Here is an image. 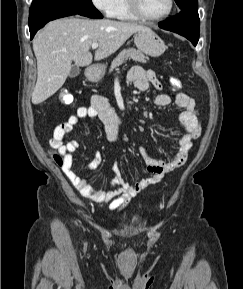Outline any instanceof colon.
Returning <instances> with one entry per match:
<instances>
[{
    "instance_id": "colon-1",
    "label": "colon",
    "mask_w": 243,
    "mask_h": 289,
    "mask_svg": "<svg viewBox=\"0 0 243 289\" xmlns=\"http://www.w3.org/2000/svg\"><path fill=\"white\" fill-rule=\"evenodd\" d=\"M170 84L174 89H180L182 87V82L180 79L176 77H171L170 78ZM59 100L62 104H71L73 102V96L72 94L67 90V89H61L59 93ZM54 160L55 162L59 165L62 162V158L54 154Z\"/></svg>"
}]
</instances>
